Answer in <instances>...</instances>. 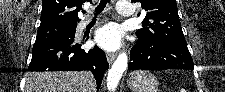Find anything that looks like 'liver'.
I'll use <instances>...</instances> for the list:
<instances>
[{
	"label": "liver",
	"instance_id": "6515ba94",
	"mask_svg": "<svg viewBox=\"0 0 225 92\" xmlns=\"http://www.w3.org/2000/svg\"><path fill=\"white\" fill-rule=\"evenodd\" d=\"M93 75L87 71L30 72L25 92H95Z\"/></svg>",
	"mask_w": 225,
	"mask_h": 92
}]
</instances>
